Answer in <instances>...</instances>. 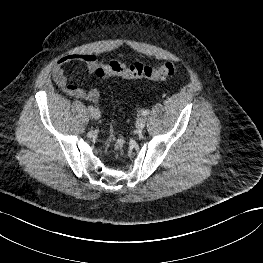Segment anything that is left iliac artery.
<instances>
[{"mask_svg": "<svg viewBox=\"0 0 263 263\" xmlns=\"http://www.w3.org/2000/svg\"><path fill=\"white\" fill-rule=\"evenodd\" d=\"M148 113H149L148 110H143L141 114H142L143 116H146V115H148Z\"/></svg>", "mask_w": 263, "mask_h": 263, "instance_id": "obj_1", "label": "left iliac artery"}]
</instances>
